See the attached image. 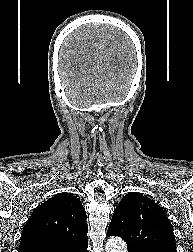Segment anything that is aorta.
<instances>
[{
  "mask_svg": "<svg viewBox=\"0 0 193 252\" xmlns=\"http://www.w3.org/2000/svg\"><path fill=\"white\" fill-rule=\"evenodd\" d=\"M106 252H128L126 243L119 237H111L107 240Z\"/></svg>",
  "mask_w": 193,
  "mask_h": 252,
  "instance_id": "aorta-1",
  "label": "aorta"
}]
</instances>
